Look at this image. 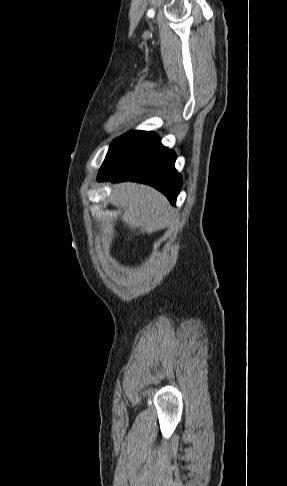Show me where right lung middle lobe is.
Listing matches in <instances>:
<instances>
[{
    "instance_id": "1",
    "label": "right lung middle lobe",
    "mask_w": 287,
    "mask_h": 486,
    "mask_svg": "<svg viewBox=\"0 0 287 486\" xmlns=\"http://www.w3.org/2000/svg\"><path fill=\"white\" fill-rule=\"evenodd\" d=\"M148 132L146 131H130L125 135L121 136L120 138L116 139L110 146L109 151L106 155V158L111 156L112 154L120 151L124 147L128 146L132 142L138 140Z\"/></svg>"
}]
</instances>
